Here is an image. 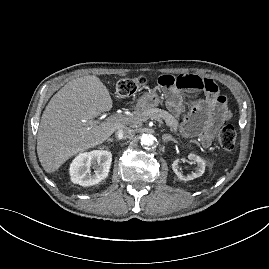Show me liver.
<instances>
[{
  "label": "liver",
  "instance_id": "liver-1",
  "mask_svg": "<svg viewBox=\"0 0 269 269\" xmlns=\"http://www.w3.org/2000/svg\"><path fill=\"white\" fill-rule=\"evenodd\" d=\"M112 108L106 86L95 75L69 81L49 101L39 125L37 153L52 173L70 157L107 140L124 127L115 121H93Z\"/></svg>",
  "mask_w": 269,
  "mask_h": 269
}]
</instances>
